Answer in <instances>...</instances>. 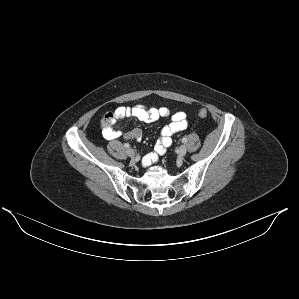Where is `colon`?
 Wrapping results in <instances>:
<instances>
[{"label": "colon", "mask_w": 299, "mask_h": 299, "mask_svg": "<svg viewBox=\"0 0 299 299\" xmlns=\"http://www.w3.org/2000/svg\"><path fill=\"white\" fill-rule=\"evenodd\" d=\"M198 115L201 118H205L207 116V111L205 109H200L198 111ZM115 123V117L112 114L106 115L102 120V127L104 130L112 129Z\"/></svg>", "instance_id": "1"}]
</instances>
